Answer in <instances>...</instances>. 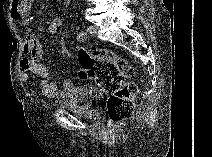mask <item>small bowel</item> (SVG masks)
<instances>
[{"label":"small bowel","mask_w":212,"mask_h":157,"mask_svg":"<svg viewBox=\"0 0 212 157\" xmlns=\"http://www.w3.org/2000/svg\"><path fill=\"white\" fill-rule=\"evenodd\" d=\"M33 0H13L10 4V17L20 21L25 26V38L23 41V57L19 62L21 81L29 82L30 75L40 78V88L42 94L47 99H54L72 88V81L68 78L62 79L59 86L52 80L50 72L41 63L42 46L37 36L33 34L29 26V16L32 9ZM62 26L60 18H54L48 27V33L54 35Z\"/></svg>","instance_id":"c3829d8e"}]
</instances>
